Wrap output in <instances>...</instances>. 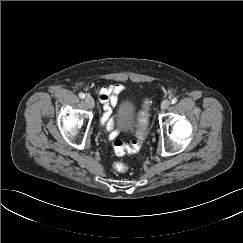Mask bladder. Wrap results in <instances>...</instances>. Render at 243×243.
<instances>
[{"label": "bladder", "instance_id": "bladder-1", "mask_svg": "<svg viewBox=\"0 0 243 243\" xmlns=\"http://www.w3.org/2000/svg\"><path fill=\"white\" fill-rule=\"evenodd\" d=\"M135 114V106L130 99L124 100L118 106L116 113L117 121L125 132H128L133 128Z\"/></svg>", "mask_w": 243, "mask_h": 243}]
</instances>
